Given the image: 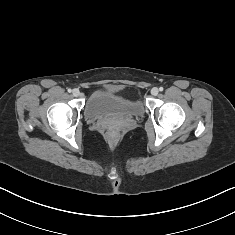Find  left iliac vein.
I'll return each mask as SVG.
<instances>
[{
	"label": "left iliac vein",
	"instance_id": "1",
	"mask_svg": "<svg viewBox=\"0 0 235 235\" xmlns=\"http://www.w3.org/2000/svg\"><path fill=\"white\" fill-rule=\"evenodd\" d=\"M158 93H159V90H158L157 87H153V88L151 89V94H152L153 96L158 95Z\"/></svg>",
	"mask_w": 235,
	"mask_h": 235
}]
</instances>
